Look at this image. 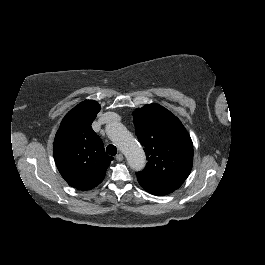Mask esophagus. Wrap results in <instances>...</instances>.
Listing matches in <instances>:
<instances>
[{
	"label": "esophagus",
	"mask_w": 265,
	"mask_h": 265,
	"mask_svg": "<svg viewBox=\"0 0 265 265\" xmlns=\"http://www.w3.org/2000/svg\"><path fill=\"white\" fill-rule=\"evenodd\" d=\"M124 159V156L122 153H119L117 156H116V160L117 161H122Z\"/></svg>",
	"instance_id": "esophagus-1"
}]
</instances>
